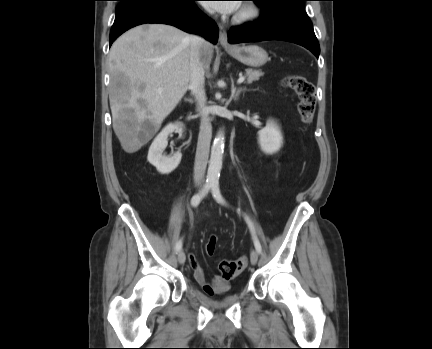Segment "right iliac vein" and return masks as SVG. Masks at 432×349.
<instances>
[{"mask_svg": "<svg viewBox=\"0 0 432 349\" xmlns=\"http://www.w3.org/2000/svg\"><path fill=\"white\" fill-rule=\"evenodd\" d=\"M186 260L185 253L183 251H180L178 254V261L180 264H183Z\"/></svg>", "mask_w": 432, "mask_h": 349, "instance_id": "right-iliac-vein-1", "label": "right iliac vein"}]
</instances>
